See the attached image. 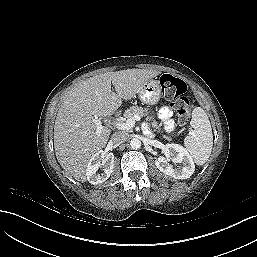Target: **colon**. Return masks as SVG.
I'll use <instances>...</instances> for the list:
<instances>
[{"mask_svg":"<svg viewBox=\"0 0 257 257\" xmlns=\"http://www.w3.org/2000/svg\"><path fill=\"white\" fill-rule=\"evenodd\" d=\"M163 95L171 101V107L180 124H186L190 118L191 103L186 96V83L171 74H163L159 80Z\"/></svg>","mask_w":257,"mask_h":257,"instance_id":"5ec220e1","label":"colon"}]
</instances>
